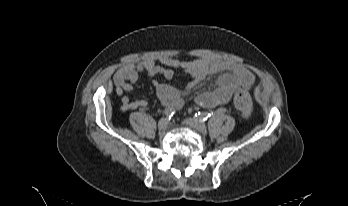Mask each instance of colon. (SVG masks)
<instances>
[{
  "mask_svg": "<svg viewBox=\"0 0 348 206\" xmlns=\"http://www.w3.org/2000/svg\"><path fill=\"white\" fill-rule=\"evenodd\" d=\"M234 105L235 108L240 112V114L248 118L252 113V101L250 95L245 90H238L234 94Z\"/></svg>",
  "mask_w": 348,
  "mask_h": 206,
  "instance_id": "obj_1",
  "label": "colon"
}]
</instances>
